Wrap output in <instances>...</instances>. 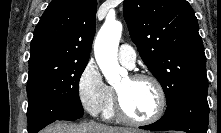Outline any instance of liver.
Instances as JSON below:
<instances>
[{"label": "liver", "instance_id": "obj_1", "mask_svg": "<svg viewBox=\"0 0 221 133\" xmlns=\"http://www.w3.org/2000/svg\"><path fill=\"white\" fill-rule=\"evenodd\" d=\"M41 133H137L133 129L110 127L95 122L78 125L68 122H55L41 131Z\"/></svg>", "mask_w": 221, "mask_h": 133}]
</instances>
